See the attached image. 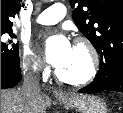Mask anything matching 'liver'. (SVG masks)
<instances>
[{
	"label": "liver",
	"mask_w": 123,
	"mask_h": 113,
	"mask_svg": "<svg viewBox=\"0 0 123 113\" xmlns=\"http://www.w3.org/2000/svg\"><path fill=\"white\" fill-rule=\"evenodd\" d=\"M46 103L39 95L34 100H28L20 90H1V113H45Z\"/></svg>",
	"instance_id": "1"
}]
</instances>
